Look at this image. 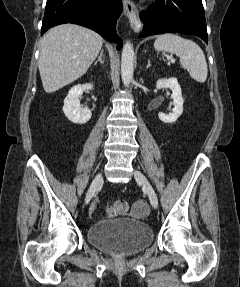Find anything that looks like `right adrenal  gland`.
Returning <instances> with one entry per match:
<instances>
[{
  "mask_svg": "<svg viewBox=\"0 0 240 287\" xmlns=\"http://www.w3.org/2000/svg\"><path fill=\"white\" fill-rule=\"evenodd\" d=\"M103 53H104V50L101 49L100 55H99L97 61L95 62V64H97L98 62H100V63H102V64L104 63V60L102 59V58H103Z\"/></svg>",
  "mask_w": 240,
  "mask_h": 287,
  "instance_id": "obj_1",
  "label": "right adrenal gland"
}]
</instances>
